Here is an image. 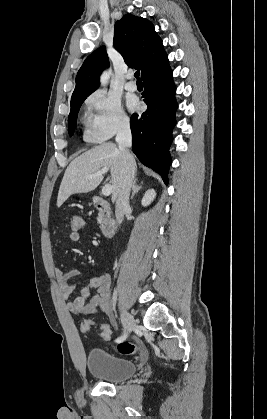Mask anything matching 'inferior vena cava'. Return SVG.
I'll return each mask as SVG.
<instances>
[{
    "mask_svg": "<svg viewBox=\"0 0 267 419\" xmlns=\"http://www.w3.org/2000/svg\"><path fill=\"white\" fill-rule=\"evenodd\" d=\"M115 140L121 151L123 161V174L119 184L115 209L116 220L121 224L124 214L129 208V195L136 171L135 159L129 152L132 145V134L128 121L121 122Z\"/></svg>",
    "mask_w": 267,
    "mask_h": 419,
    "instance_id": "obj_1",
    "label": "inferior vena cava"
}]
</instances>
